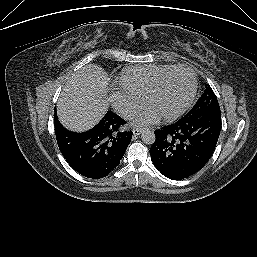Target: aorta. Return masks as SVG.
I'll return each instance as SVG.
<instances>
[{
	"instance_id": "aorta-1",
	"label": "aorta",
	"mask_w": 257,
	"mask_h": 257,
	"mask_svg": "<svg viewBox=\"0 0 257 257\" xmlns=\"http://www.w3.org/2000/svg\"><path fill=\"white\" fill-rule=\"evenodd\" d=\"M142 141L145 144L151 145L155 142V134L150 130H145L141 134Z\"/></svg>"
}]
</instances>
